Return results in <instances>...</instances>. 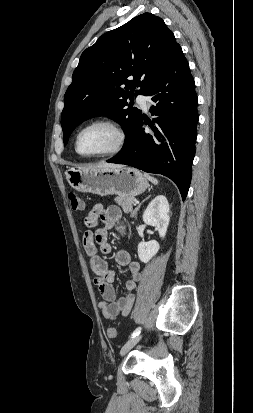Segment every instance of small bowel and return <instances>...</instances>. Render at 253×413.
Returning a JSON list of instances; mask_svg holds the SVG:
<instances>
[{
	"label": "small bowel",
	"instance_id": "1",
	"mask_svg": "<svg viewBox=\"0 0 253 413\" xmlns=\"http://www.w3.org/2000/svg\"><path fill=\"white\" fill-rule=\"evenodd\" d=\"M122 212L116 205L104 207L96 204L84 219L87 227L83 235V247L88 256V265L94 272V284L98 287L101 300L98 307L102 315L107 319H115L119 315L127 316L130 314L134 301V291L137 282L141 278V265L139 262L132 261L128 251L120 250L115 256L116 263L122 267H128L130 277L125 284V293L117 299L113 282L115 273L111 270L107 262L97 253V246L102 255H109L112 251L108 242V232L116 228L121 234L125 233V226L121 222ZM101 220L103 226L97 227Z\"/></svg>",
	"mask_w": 253,
	"mask_h": 413
}]
</instances>
